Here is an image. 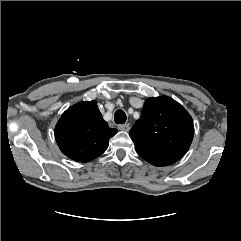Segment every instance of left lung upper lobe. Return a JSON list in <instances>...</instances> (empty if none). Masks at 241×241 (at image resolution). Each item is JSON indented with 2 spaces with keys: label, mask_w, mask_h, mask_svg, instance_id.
Listing matches in <instances>:
<instances>
[{
  "label": "left lung upper lobe",
  "mask_w": 241,
  "mask_h": 241,
  "mask_svg": "<svg viewBox=\"0 0 241 241\" xmlns=\"http://www.w3.org/2000/svg\"><path fill=\"white\" fill-rule=\"evenodd\" d=\"M129 135L136 151L181 158L193 139V120L175 100L152 97L145 101L141 117Z\"/></svg>",
  "instance_id": "left-lung-upper-lobe-1"
}]
</instances>
